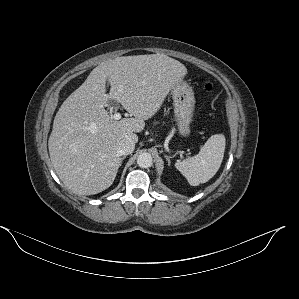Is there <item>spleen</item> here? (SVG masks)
I'll list each match as a JSON object with an SVG mask.
<instances>
[{
  "label": "spleen",
  "mask_w": 299,
  "mask_h": 299,
  "mask_svg": "<svg viewBox=\"0 0 299 299\" xmlns=\"http://www.w3.org/2000/svg\"><path fill=\"white\" fill-rule=\"evenodd\" d=\"M225 137L212 135L193 157L175 163L177 170L192 186L209 181L219 170L225 151Z\"/></svg>",
  "instance_id": "spleen-1"
}]
</instances>
